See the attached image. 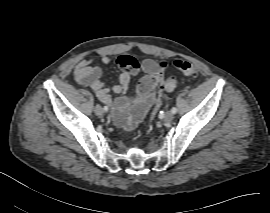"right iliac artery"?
Here are the masks:
<instances>
[{"label":"right iliac artery","mask_w":270,"mask_h":213,"mask_svg":"<svg viewBox=\"0 0 270 213\" xmlns=\"http://www.w3.org/2000/svg\"><path fill=\"white\" fill-rule=\"evenodd\" d=\"M103 110H104L105 112H107L109 109H108L107 106H104Z\"/></svg>","instance_id":"right-iliac-artery-1"}]
</instances>
